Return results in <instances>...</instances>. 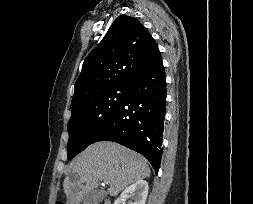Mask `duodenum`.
<instances>
[{
    "instance_id": "duodenum-1",
    "label": "duodenum",
    "mask_w": 253,
    "mask_h": 204,
    "mask_svg": "<svg viewBox=\"0 0 253 204\" xmlns=\"http://www.w3.org/2000/svg\"><path fill=\"white\" fill-rule=\"evenodd\" d=\"M104 204H110V203H109V201H105V203H104Z\"/></svg>"
}]
</instances>
